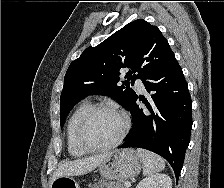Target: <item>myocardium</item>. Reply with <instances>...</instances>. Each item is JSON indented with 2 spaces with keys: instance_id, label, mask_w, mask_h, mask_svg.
I'll list each match as a JSON object with an SVG mask.
<instances>
[{
  "instance_id": "f54148a6",
  "label": "myocardium",
  "mask_w": 224,
  "mask_h": 188,
  "mask_svg": "<svg viewBox=\"0 0 224 188\" xmlns=\"http://www.w3.org/2000/svg\"><path fill=\"white\" fill-rule=\"evenodd\" d=\"M100 111H110L120 115L123 121V127L119 136L111 143L104 145H94L87 141L85 137V130L90 119ZM130 125L131 123L128 114L121 108L107 103L97 104L91 106L80 119L76 130V139L78 144L86 151L95 152V151L108 150L117 147L124 140V138L126 137L127 133L130 130Z\"/></svg>"
}]
</instances>
